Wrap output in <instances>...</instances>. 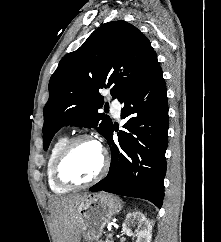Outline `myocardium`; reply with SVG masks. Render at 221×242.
Returning <instances> with one entry per match:
<instances>
[{"label": "myocardium", "mask_w": 221, "mask_h": 242, "mask_svg": "<svg viewBox=\"0 0 221 242\" xmlns=\"http://www.w3.org/2000/svg\"><path fill=\"white\" fill-rule=\"evenodd\" d=\"M81 141H90L95 143L100 152H101V165L99 167V170L97 173L91 177L88 180L85 181H72L68 180L63 177L61 169L62 165L65 162L67 156L69 155L70 151L72 148L79 142ZM109 167V158L106 149L93 137L87 134H80L72 137L71 139L67 140V142L64 144L60 152L58 153L54 165H53V177L55 181L66 188L69 189H75V188H82V187H87L89 185H92L102 179V177L106 174L107 170Z\"/></svg>", "instance_id": "f54148a6"}]
</instances>
